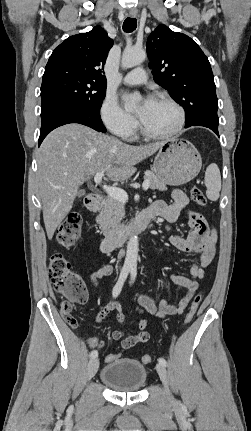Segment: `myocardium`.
I'll list each match as a JSON object with an SVG mask.
<instances>
[{
  "label": "myocardium",
  "mask_w": 251,
  "mask_h": 431,
  "mask_svg": "<svg viewBox=\"0 0 251 431\" xmlns=\"http://www.w3.org/2000/svg\"><path fill=\"white\" fill-rule=\"evenodd\" d=\"M154 100L164 101L170 104L171 106H173L176 109L178 114L177 123L170 131L166 133H153L148 131L139 119L138 120L139 132L144 137L148 139H154V140H165L176 136L182 130L185 124L186 114H185L184 108L174 98H172L167 94H158L155 96Z\"/></svg>",
  "instance_id": "1"
}]
</instances>
